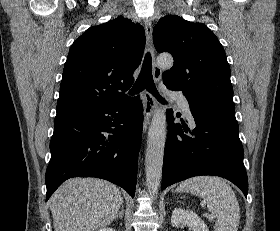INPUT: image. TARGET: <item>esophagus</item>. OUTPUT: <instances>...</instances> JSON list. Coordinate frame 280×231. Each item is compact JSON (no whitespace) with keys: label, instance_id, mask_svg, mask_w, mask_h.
Here are the masks:
<instances>
[{"label":"esophagus","instance_id":"1","mask_svg":"<svg viewBox=\"0 0 280 231\" xmlns=\"http://www.w3.org/2000/svg\"><path fill=\"white\" fill-rule=\"evenodd\" d=\"M144 28L146 33V40H147V47L148 52L152 56V66H153V78L156 83H158L161 80L162 71L159 66L155 63V57H154V46H153V40H152V23L150 18H146L144 21ZM143 100H144V121H143V129L144 132L148 130L150 120L154 114V110L156 108V99L155 97L148 92L147 90L143 93Z\"/></svg>","mask_w":280,"mask_h":231}]
</instances>
